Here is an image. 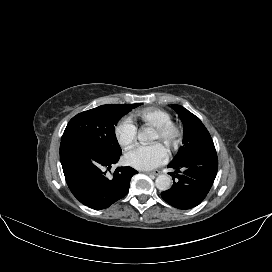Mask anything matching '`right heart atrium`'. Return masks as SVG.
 <instances>
[{
  "label": "right heart atrium",
  "mask_w": 272,
  "mask_h": 272,
  "mask_svg": "<svg viewBox=\"0 0 272 272\" xmlns=\"http://www.w3.org/2000/svg\"><path fill=\"white\" fill-rule=\"evenodd\" d=\"M114 134L118 144L129 149L136 141L137 127L129 118H122L115 125Z\"/></svg>",
  "instance_id": "right-heart-atrium-1"
}]
</instances>
